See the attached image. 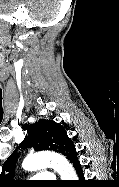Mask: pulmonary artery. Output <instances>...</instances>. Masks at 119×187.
<instances>
[{
    "label": "pulmonary artery",
    "mask_w": 119,
    "mask_h": 187,
    "mask_svg": "<svg viewBox=\"0 0 119 187\" xmlns=\"http://www.w3.org/2000/svg\"><path fill=\"white\" fill-rule=\"evenodd\" d=\"M54 175L49 172H42L39 174H36L33 179H42V180H50L53 179Z\"/></svg>",
    "instance_id": "pulmonary-artery-1"
}]
</instances>
